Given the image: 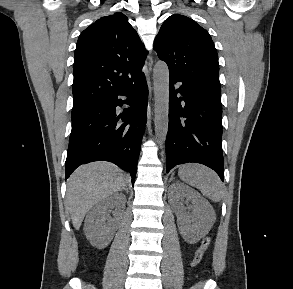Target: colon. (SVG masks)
Masks as SVG:
<instances>
[{
    "mask_svg": "<svg viewBox=\"0 0 293 289\" xmlns=\"http://www.w3.org/2000/svg\"><path fill=\"white\" fill-rule=\"evenodd\" d=\"M210 241H211L210 237H206L202 241L201 245L198 247V249L196 250V252L194 254V257H193L192 262H191L192 266L195 267L201 262L204 254H205V252H206V250H207V248H208V246L210 244Z\"/></svg>",
    "mask_w": 293,
    "mask_h": 289,
    "instance_id": "obj_1",
    "label": "colon"
}]
</instances>
